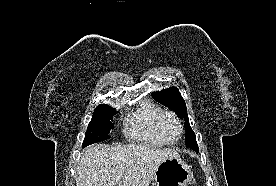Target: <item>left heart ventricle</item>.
<instances>
[{
	"label": "left heart ventricle",
	"instance_id": "b2bd125f",
	"mask_svg": "<svg viewBox=\"0 0 276 186\" xmlns=\"http://www.w3.org/2000/svg\"><path fill=\"white\" fill-rule=\"evenodd\" d=\"M162 129L165 136L171 141L176 140L179 136V127L172 118H165L163 120Z\"/></svg>",
	"mask_w": 276,
	"mask_h": 186
}]
</instances>
